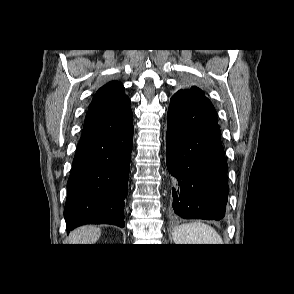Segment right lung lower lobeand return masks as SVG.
Wrapping results in <instances>:
<instances>
[{"mask_svg":"<svg viewBox=\"0 0 294 294\" xmlns=\"http://www.w3.org/2000/svg\"><path fill=\"white\" fill-rule=\"evenodd\" d=\"M130 99L88 110L67 183V232L84 224L124 227L133 141Z\"/></svg>","mask_w":294,"mask_h":294,"instance_id":"obj_1","label":"right lung lower lobe"}]
</instances>
